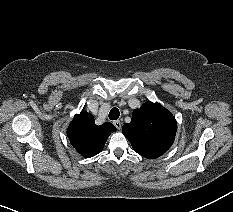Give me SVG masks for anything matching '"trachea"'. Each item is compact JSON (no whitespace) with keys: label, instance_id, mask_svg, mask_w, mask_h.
Wrapping results in <instances>:
<instances>
[{"label":"trachea","instance_id":"obj_1","mask_svg":"<svg viewBox=\"0 0 233 212\" xmlns=\"http://www.w3.org/2000/svg\"><path fill=\"white\" fill-rule=\"evenodd\" d=\"M120 112L117 108H112L109 112V119L116 120L119 118Z\"/></svg>","mask_w":233,"mask_h":212}]
</instances>
